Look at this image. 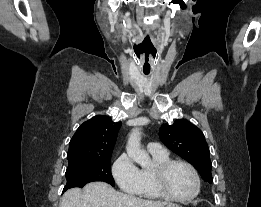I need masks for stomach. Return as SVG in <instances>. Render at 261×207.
<instances>
[{
  "label": "stomach",
  "instance_id": "obj_1",
  "mask_svg": "<svg viewBox=\"0 0 261 207\" xmlns=\"http://www.w3.org/2000/svg\"><path fill=\"white\" fill-rule=\"evenodd\" d=\"M165 207H181V206L173 203H168Z\"/></svg>",
  "mask_w": 261,
  "mask_h": 207
}]
</instances>
